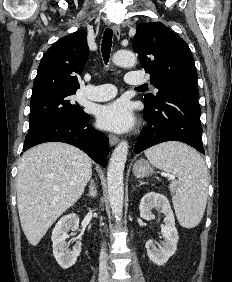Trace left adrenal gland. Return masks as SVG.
<instances>
[{
  "instance_id": "left-adrenal-gland-1",
  "label": "left adrenal gland",
  "mask_w": 232,
  "mask_h": 282,
  "mask_svg": "<svg viewBox=\"0 0 232 282\" xmlns=\"http://www.w3.org/2000/svg\"><path fill=\"white\" fill-rule=\"evenodd\" d=\"M143 184H145V183H144V182L139 181V186H141V185H143Z\"/></svg>"
}]
</instances>
